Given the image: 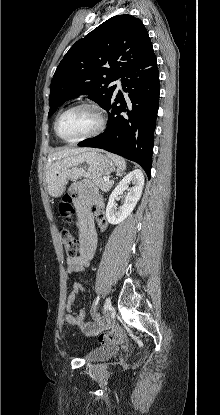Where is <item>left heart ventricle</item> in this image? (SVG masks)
Returning <instances> with one entry per match:
<instances>
[{"mask_svg": "<svg viewBox=\"0 0 220 415\" xmlns=\"http://www.w3.org/2000/svg\"><path fill=\"white\" fill-rule=\"evenodd\" d=\"M98 117L93 110L75 109L66 113L59 121V134L69 140L80 138L94 131Z\"/></svg>", "mask_w": 220, "mask_h": 415, "instance_id": "left-heart-ventricle-1", "label": "left heart ventricle"}]
</instances>
